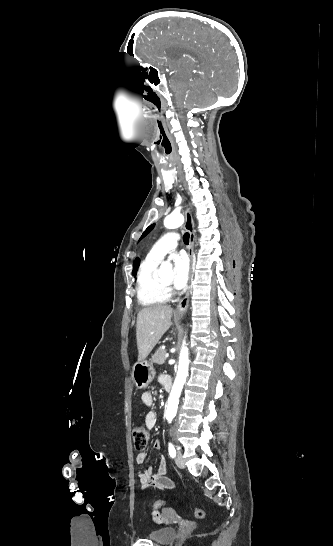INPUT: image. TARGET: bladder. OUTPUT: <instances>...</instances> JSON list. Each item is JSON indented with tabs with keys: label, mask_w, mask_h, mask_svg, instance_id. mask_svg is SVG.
Here are the masks:
<instances>
[{
	"label": "bladder",
	"mask_w": 333,
	"mask_h": 546,
	"mask_svg": "<svg viewBox=\"0 0 333 546\" xmlns=\"http://www.w3.org/2000/svg\"><path fill=\"white\" fill-rule=\"evenodd\" d=\"M177 537V531L171 526H164L151 531L148 538L156 543L166 544L172 542Z\"/></svg>",
	"instance_id": "1"
}]
</instances>
